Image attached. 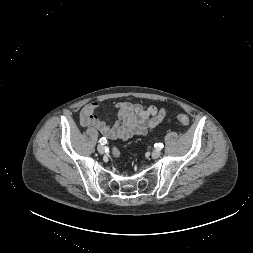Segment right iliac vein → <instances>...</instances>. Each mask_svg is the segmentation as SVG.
I'll list each match as a JSON object with an SVG mask.
<instances>
[{
    "instance_id": "63e3f726",
    "label": "right iliac vein",
    "mask_w": 253,
    "mask_h": 253,
    "mask_svg": "<svg viewBox=\"0 0 253 253\" xmlns=\"http://www.w3.org/2000/svg\"><path fill=\"white\" fill-rule=\"evenodd\" d=\"M97 150H98L99 153L103 154L104 151H105V147L103 145L99 144L97 146Z\"/></svg>"
}]
</instances>
